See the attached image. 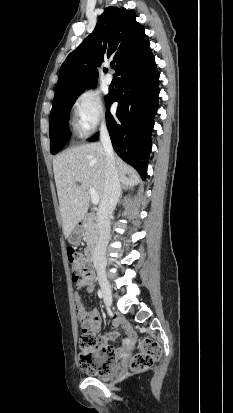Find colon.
<instances>
[{"label":"colon","instance_id":"obj_1","mask_svg":"<svg viewBox=\"0 0 233 413\" xmlns=\"http://www.w3.org/2000/svg\"><path fill=\"white\" fill-rule=\"evenodd\" d=\"M68 261L71 265L73 281H81L92 275V270L84 256L73 248L67 249ZM80 366L89 374H107L115 369L117 355L112 348H100L98 339L91 334H83L79 338ZM161 355L159 344L144 338L139 352L132 358L130 369L134 372L147 370Z\"/></svg>","mask_w":233,"mask_h":413}]
</instances>
